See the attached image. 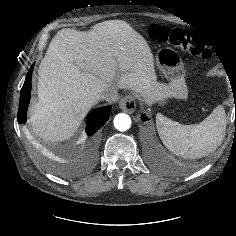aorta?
Returning a JSON list of instances; mask_svg holds the SVG:
<instances>
[{"instance_id": "1", "label": "aorta", "mask_w": 236, "mask_h": 236, "mask_svg": "<svg viewBox=\"0 0 236 236\" xmlns=\"http://www.w3.org/2000/svg\"><path fill=\"white\" fill-rule=\"evenodd\" d=\"M113 123L118 131H126L131 126V118L125 113H119L115 116Z\"/></svg>"}]
</instances>
